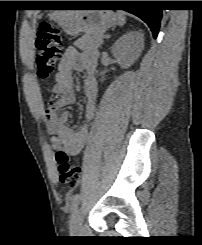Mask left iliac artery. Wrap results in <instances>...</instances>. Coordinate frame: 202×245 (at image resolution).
Returning <instances> with one entry per match:
<instances>
[{
  "label": "left iliac artery",
  "mask_w": 202,
  "mask_h": 245,
  "mask_svg": "<svg viewBox=\"0 0 202 245\" xmlns=\"http://www.w3.org/2000/svg\"><path fill=\"white\" fill-rule=\"evenodd\" d=\"M80 195L76 194L71 200V210L75 209L79 203Z\"/></svg>",
  "instance_id": "1"
}]
</instances>
